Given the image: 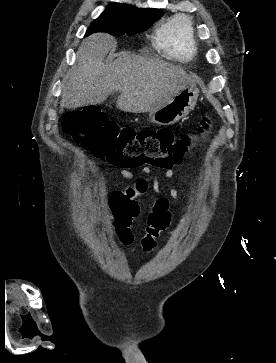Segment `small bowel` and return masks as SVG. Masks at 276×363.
Returning a JSON list of instances; mask_svg holds the SVG:
<instances>
[{
    "label": "small bowel",
    "mask_w": 276,
    "mask_h": 363,
    "mask_svg": "<svg viewBox=\"0 0 276 363\" xmlns=\"http://www.w3.org/2000/svg\"><path fill=\"white\" fill-rule=\"evenodd\" d=\"M144 174L150 173V168L143 167L141 170ZM121 175L124 178L131 179L133 177L132 172L128 170H121ZM174 173L171 169H168L165 172V177L167 179H171L173 177ZM185 182L191 192L200 197L201 193L200 191L192 185V183L186 178ZM156 183V182H155ZM150 188V184L147 179L141 178L138 179L133 185L115 192L111 197L110 207L112 209H118L120 213L125 217L126 219V225H131L132 221L135 220L141 213V208L138 203V199L143 196ZM169 194L170 196L176 200L180 201V196L177 190L174 187L169 188ZM168 204L169 200L166 197L162 196H156L153 203L151 212L149 214V223L146 228L145 235H153V238L156 240L161 233H163L167 226L163 229H154L152 226H150V216L155 215L160 221L167 222L169 224V215H168ZM186 224V216L181 213L177 223L175 226L171 229L170 233L173 235L179 234L184 226Z\"/></svg>",
    "instance_id": "1"
}]
</instances>
